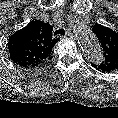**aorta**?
I'll use <instances>...</instances> for the list:
<instances>
[{
  "mask_svg": "<svg viewBox=\"0 0 118 118\" xmlns=\"http://www.w3.org/2000/svg\"><path fill=\"white\" fill-rule=\"evenodd\" d=\"M75 30L78 42L86 58L90 62L101 63L104 59L103 51L91 29L85 24L78 23Z\"/></svg>",
  "mask_w": 118,
  "mask_h": 118,
  "instance_id": "aorta-1",
  "label": "aorta"
}]
</instances>
